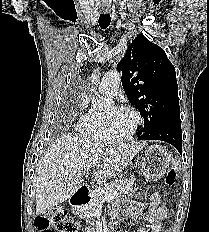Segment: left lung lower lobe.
<instances>
[{
  "mask_svg": "<svg viewBox=\"0 0 209 232\" xmlns=\"http://www.w3.org/2000/svg\"><path fill=\"white\" fill-rule=\"evenodd\" d=\"M139 140H160L173 145L181 154L182 153V133L180 116L174 117L161 123L149 135L138 136Z\"/></svg>",
  "mask_w": 209,
  "mask_h": 232,
  "instance_id": "left-lung-lower-lobe-1",
  "label": "left lung lower lobe"
}]
</instances>
